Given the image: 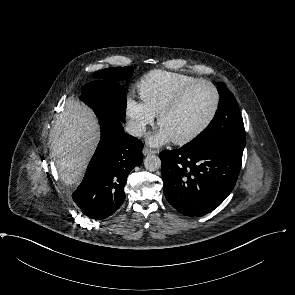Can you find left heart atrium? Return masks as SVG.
<instances>
[{"label":"left heart atrium","instance_id":"obj_1","mask_svg":"<svg viewBox=\"0 0 295 295\" xmlns=\"http://www.w3.org/2000/svg\"><path fill=\"white\" fill-rule=\"evenodd\" d=\"M173 140V136L162 126L147 139L148 143L152 146H160Z\"/></svg>","mask_w":295,"mask_h":295}]
</instances>
